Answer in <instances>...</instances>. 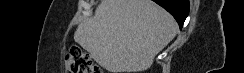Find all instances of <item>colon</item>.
<instances>
[{
    "label": "colon",
    "instance_id": "obj_1",
    "mask_svg": "<svg viewBox=\"0 0 244 73\" xmlns=\"http://www.w3.org/2000/svg\"><path fill=\"white\" fill-rule=\"evenodd\" d=\"M67 73H102L92 58L80 48H72L64 58Z\"/></svg>",
    "mask_w": 244,
    "mask_h": 73
}]
</instances>
